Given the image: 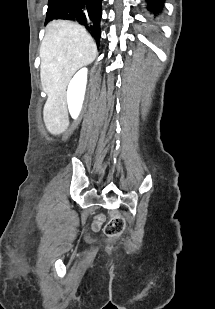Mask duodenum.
Segmentation results:
<instances>
[{"label": "duodenum", "mask_w": 215, "mask_h": 309, "mask_svg": "<svg viewBox=\"0 0 215 309\" xmlns=\"http://www.w3.org/2000/svg\"><path fill=\"white\" fill-rule=\"evenodd\" d=\"M96 225H97V227H98V225H99V221H97V222H96Z\"/></svg>", "instance_id": "410a0bca"}]
</instances>
